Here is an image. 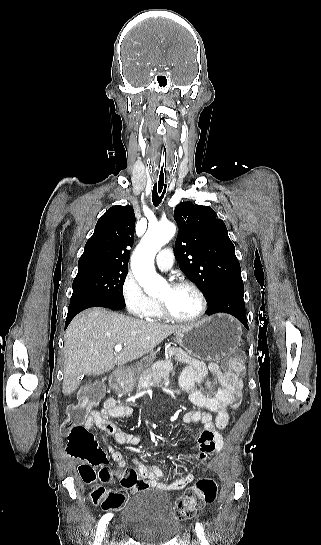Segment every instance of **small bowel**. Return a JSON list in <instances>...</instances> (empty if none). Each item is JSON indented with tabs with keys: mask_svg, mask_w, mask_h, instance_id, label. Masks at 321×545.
<instances>
[{
	"mask_svg": "<svg viewBox=\"0 0 321 545\" xmlns=\"http://www.w3.org/2000/svg\"><path fill=\"white\" fill-rule=\"evenodd\" d=\"M186 367L179 379L181 388L188 393L189 399L193 405L200 410H190L184 417L186 423H199L202 426V432L197 436V447L200 450V459L206 460L211 453L219 452L223 447V430L229 421L228 409L235 408L241 403L242 382L239 378L225 373L217 363H205L188 359ZM215 376L216 382L220 385L211 396H207L202 390L197 388L198 383H203L207 390H211V382L208 374ZM132 413V409L124 405L119 399L109 398L105 401L101 410L92 411L86 421L87 429L99 428L105 433L104 440L110 454V458L116 463L115 470L108 469V458L106 454L101 459L86 460L79 466V473L82 479L89 483L88 478L97 479L95 468H100L99 477L102 481L114 485L121 481L126 472V461L123 455L115 449L108 441L106 435L114 437L120 445L129 447L138 446L140 438L137 435L123 431L117 425L113 418L127 417ZM212 414L215 415L213 418ZM195 432L190 430V437L193 438ZM135 471L143 479H148L151 486L165 491H176L184 489L194 480L193 474L177 479L171 483H165L162 479L165 477L164 471L156 466H148L138 458L133 459ZM206 469L201 472L204 473Z\"/></svg>",
	"mask_w": 321,
	"mask_h": 545,
	"instance_id": "small-bowel-1",
	"label": "small bowel"
}]
</instances>
